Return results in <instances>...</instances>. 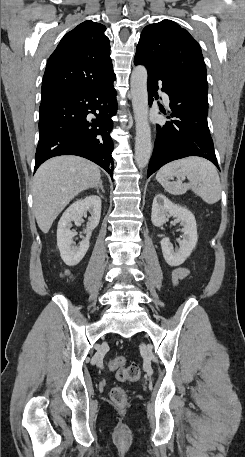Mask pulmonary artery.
Returning a JSON list of instances; mask_svg holds the SVG:
<instances>
[{"instance_id":"1","label":"pulmonary artery","mask_w":245,"mask_h":457,"mask_svg":"<svg viewBox=\"0 0 245 457\" xmlns=\"http://www.w3.org/2000/svg\"><path fill=\"white\" fill-rule=\"evenodd\" d=\"M159 99H160L161 102H166V103L163 104L164 108H168L169 107L168 102H169L170 96H169V94H168V92L166 90H163L161 92V94L159 96Z\"/></svg>"}]
</instances>
